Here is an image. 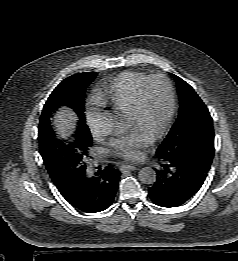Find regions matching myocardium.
<instances>
[{
    "label": "myocardium",
    "instance_id": "f54148a6",
    "mask_svg": "<svg viewBox=\"0 0 238 261\" xmlns=\"http://www.w3.org/2000/svg\"><path fill=\"white\" fill-rule=\"evenodd\" d=\"M155 81H161L165 85L168 93L169 106H168L166 117L162 125L152 136L153 140H157L161 138L169 130L176 112V105H177L176 91L171 79L167 75L160 74V73L147 77L138 88L135 102L132 108L129 110L130 114H132L136 118L141 117L144 110L145 96H146L147 89Z\"/></svg>",
    "mask_w": 238,
    "mask_h": 261
}]
</instances>
